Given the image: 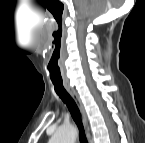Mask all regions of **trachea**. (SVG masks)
Returning a JSON list of instances; mask_svg holds the SVG:
<instances>
[{"label":"trachea","instance_id":"obj_1","mask_svg":"<svg viewBox=\"0 0 145 143\" xmlns=\"http://www.w3.org/2000/svg\"><path fill=\"white\" fill-rule=\"evenodd\" d=\"M53 85H54L55 92L61 98V100L67 105V108L70 111L73 120L75 121L76 125L78 126V129L80 132V138H79L80 143H88L86 135H85L84 127L82 124L81 116H80V110H79L77 104L75 103L74 99L64 88L62 82H60V83L53 82Z\"/></svg>","mask_w":145,"mask_h":143}]
</instances>
